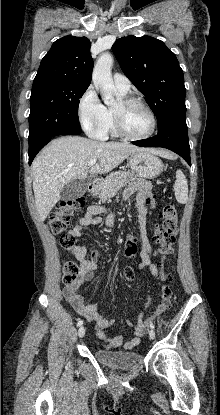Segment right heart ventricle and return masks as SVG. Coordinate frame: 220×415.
Segmentation results:
<instances>
[{"label": "right heart ventricle", "mask_w": 220, "mask_h": 415, "mask_svg": "<svg viewBox=\"0 0 220 415\" xmlns=\"http://www.w3.org/2000/svg\"><path fill=\"white\" fill-rule=\"evenodd\" d=\"M117 93L121 97L125 96V94H121L119 92H117ZM107 112H108V121H107V125L105 127L104 134L102 135L101 139H105L109 136H112V137L117 136V133H116L115 128H114L112 109H107Z\"/></svg>", "instance_id": "right-heart-ventricle-1"}]
</instances>
